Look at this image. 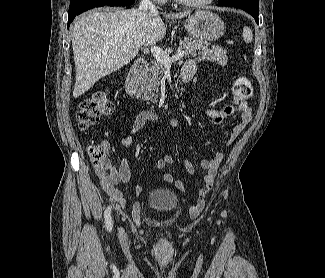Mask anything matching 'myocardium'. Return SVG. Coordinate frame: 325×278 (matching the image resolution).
<instances>
[{
    "mask_svg": "<svg viewBox=\"0 0 325 278\" xmlns=\"http://www.w3.org/2000/svg\"><path fill=\"white\" fill-rule=\"evenodd\" d=\"M175 1L183 6L201 8L210 5L214 0H175Z\"/></svg>",
    "mask_w": 325,
    "mask_h": 278,
    "instance_id": "f54148a6",
    "label": "myocardium"
}]
</instances>
